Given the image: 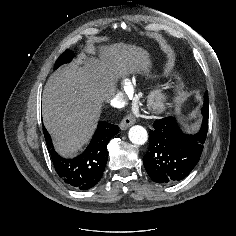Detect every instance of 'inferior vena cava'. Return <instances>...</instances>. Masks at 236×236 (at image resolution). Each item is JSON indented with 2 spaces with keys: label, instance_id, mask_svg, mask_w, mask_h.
I'll return each instance as SVG.
<instances>
[{
  "label": "inferior vena cava",
  "instance_id": "inferior-vena-cava-1",
  "mask_svg": "<svg viewBox=\"0 0 236 236\" xmlns=\"http://www.w3.org/2000/svg\"><path fill=\"white\" fill-rule=\"evenodd\" d=\"M124 98L122 93L116 94L111 100V105L116 108H121L124 106Z\"/></svg>",
  "mask_w": 236,
  "mask_h": 236
}]
</instances>
